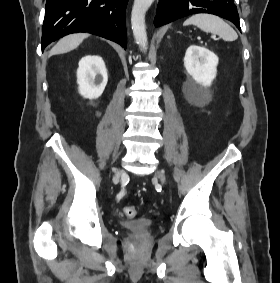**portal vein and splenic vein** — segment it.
Instances as JSON below:
<instances>
[{"label":"portal vein and splenic vein","mask_w":280,"mask_h":283,"mask_svg":"<svg viewBox=\"0 0 280 283\" xmlns=\"http://www.w3.org/2000/svg\"><path fill=\"white\" fill-rule=\"evenodd\" d=\"M213 39H214V40H218V38H216L215 36H213Z\"/></svg>","instance_id":"1"}]
</instances>
